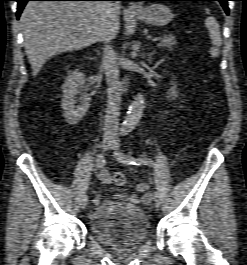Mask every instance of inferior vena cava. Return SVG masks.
<instances>
[{
    "mask_svg": "<svg viewBox=\"0 0 247 265\" xmlns=\"http://www.w3.org/2000/svg\"><path fill=\"white\" fill-rule=\"evenodd\" d=\"M109 7L113 3L107 2ZM103 48V68L106 74L108 85V100L104 122V134L113 135L118 131V121L120 115L121 93L119 81V69L117 64V54L110 44V38L104 37Z\"/></svg>",
    "mask_w": 247,
    "mask_h": 265,
    "instance_id": "1",
    "label": "inferior vena cava"
}]
</instances>
